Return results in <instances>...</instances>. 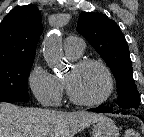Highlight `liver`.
Listing matches in <instances>:
<instances>
[{
  "instance_id": "liver-1",
  "label": "liver",
  "mask_w": 144,
  "mask_h": 137,
  "mask_svg": "<svg viewBox=\"0 0 144 137\" xmlns=\"http://www.w3.org/2000/svg\"><path fill=\"white\" fill-rule=\"evenodd\" d=\"M102 117L87 111L21 108L3 102L0 103V137H74Z\"/></svg>"
}]
</instances>
